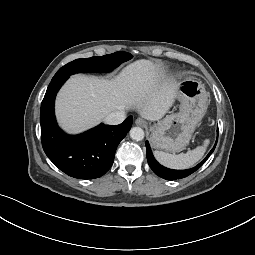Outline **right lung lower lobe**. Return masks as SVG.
<instances>
[{"label":"right lung lower lobe","instance_id":"right-lung-lower-lobe-1","mask_svg":"<svg viewBox=\"0 0 255 255\" xmlns=\"http://www.w3.org/2000/svg\"><path fill=\"white\" fill-rule=\"evenodd\" d=\"M69 76L52 79L40 110L41 140L48 158L64 173L78 179H95L112 166L120 141L132 126V116L115 126L100 124L82 134L70 136L57 125L56 94Z\"/></svg>","mask_w":255,"mask_h":255}]
</instances>
